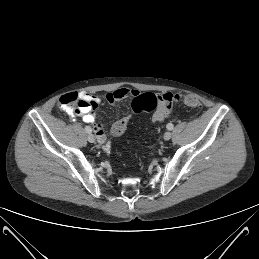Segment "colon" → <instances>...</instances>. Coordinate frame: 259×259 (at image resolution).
<instances>
[{
    "label": "colon",
    "mask_w": 259,
    "mask_h": 259,
    "mask_svg": "<svg viewBox=\"0 0 259 259\" xmlns=\"http://www.w3.org/2000/svg\"><path fill=\"white\" fill-rule=\"evenodd\" d=\"M183 103L192 108L200 106V101L193 95H181ZM158 105V97L152 93L138 94L134 97L132 102V108L135 113L150 112L153 111ZM129 117L123 118L117 121L112 126V133L116 136L121 135L127 128Z\"/></svg>",
    "instance_id": "obj_1"
}]
</instances>
